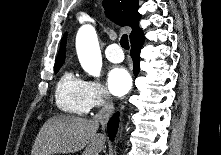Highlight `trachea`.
Instances as JSON below:
<instances>
[{"instance_id": "obj_1", "label": "trachea", "mask_w": 221, "mask_h": 155, "mask_svg": "<svg viewBox=\"0 0 221 155\" xmlns=\"http://www.w3.org/2000/svg\"><path fill=\"white\" fill-rule=\"evenodd\" d=\"M120 44L121 46L128 50L129 49V42H128V36L126 34H124L122 37H121V40H120Z\"/></svg>"}]
</instances>
